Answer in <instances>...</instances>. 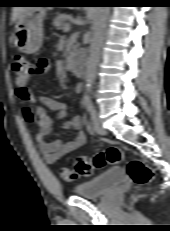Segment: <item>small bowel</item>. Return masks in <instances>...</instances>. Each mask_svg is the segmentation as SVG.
<instances>
[{"label": "small bowel", "instance_id": "small-bowel-1", "mask_svg": "<svg viewBox=\"0 0 170 231\" xmlns=\"http://www.w3.org/2000/svg\"><path fill=\"white\" fill-rule=\"evenodd\" d=\"M35 75H43L49 69V62L46 58H39L35 63ZM82 85H76V92L80 93ZM16 95L25 103L23 116L25 120L34 124L37 129L35 136L39 151L48 164H54L63 156L79 149L86 143V134L83 129L80 116L68 118L67 105L61 101L48 96H36L27 86L17 87ZM48 110L55 114L51 115ZM62 123L63 130L73 129L76 132L75 138L62 143L59 140L46 141V137L54 132V125Z\"/></svg>", "mask_w": 170, "mask_h": 231}]
</instances>
